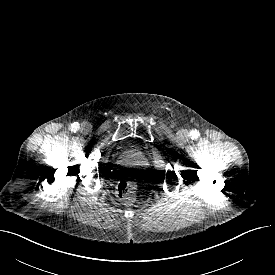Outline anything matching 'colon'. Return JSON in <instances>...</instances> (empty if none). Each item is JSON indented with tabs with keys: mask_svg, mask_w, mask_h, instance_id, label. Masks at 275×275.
<instances>
[{
	"mask_svg": "<svg viewBox=\"0 0 275 275\" xmlns=\"http://www.w3.org/2000/svg\"><path fill=\"white\" fill-rule=\"evenodd\" d=\"M136 185L133 181H121L117 186L118 197L126 202H133L135 199Z\"/></svg>",
	"mask_w": 275,
	"mask_h": 275,
	"instance_id": "5ec220e1",
	"label": "colon"
}]
</instances>
